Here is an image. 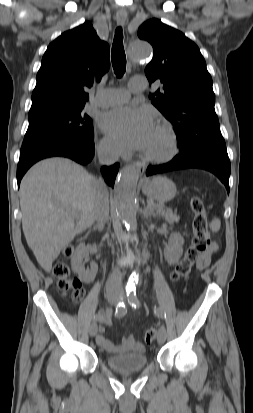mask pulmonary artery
Returning a JSON list of instances; mask_svg holds the SVG:
<instances>
[{
  "label": "pulmonary artery",
  "instance_id": "e3ab8cb5",
  "mask_svg": "<svg viewBox=\"0 0 253 413\" xmlns=\"http://www.w3.org/2000/svg\"><path fill=\"white\" fill-rule=\"evenodd\" d=\"M144 89V85L135 81L130 83V91L133 93ZM130 97V92L125 89H106L98 92L95 103L98 106L109 107L126 102Z\"/></svg>",
  "mask_w": 253,
  "mask_h": 413
}]
</instances>
